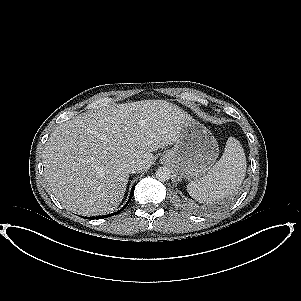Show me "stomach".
<instances>
[{"label":"stomach","instance_id":"obj_1","mask_svg":"<svg viewBox=\"0 0 301 301\" xmlns=\"http://www.w3.org/2000/svg\"><path fill=\"white\" fill-rule=\"evenodd\" d=\"M218 155V143L212 133L190 118L184 121L174 146L160 160L172 164L183 178L196 180L211 169Z\"/></svg>","mask_w":301,"mask_h":301}]
</instances>
